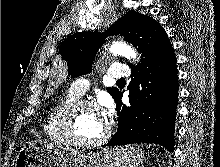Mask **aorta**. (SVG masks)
<instances>
[{
	"instance_id": "obj_1",
	"label": "aorta",
	"mask_w": 220,
	"mask_h": 167,
	"mask_svg": "<svg viewBox=\"0 0 220 167\" xmlns=\"http://www.w3.org/2000/svg\"><path fill=\"white\" fill-rule=\"evenodd\" d=\"M109 51L115 55H120L128 60H135L137 58V53L135 50L124 42H113L110 46Z\"/></svg>"
}]
</instances>
